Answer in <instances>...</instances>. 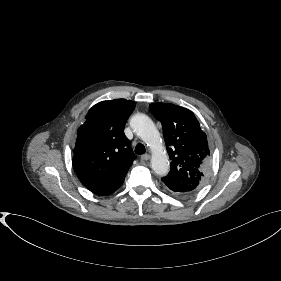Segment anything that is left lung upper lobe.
Returning a JSON list of instances; mask_svg holds the SVG:
<instances>
[{
  "instance_id": "obj_1",
  "label": "left lung upper lobe",
  "mask_w": 281,
  "mask_h": 281,
  "mask_svg": "<svg viewBox=\"0 0 281 281\" xmlns=\"http://www.w3.org/2000/svg\"><path fill=\"white\" fill-rule=\"evenodd\" d=\"M162 124L167 152L171 160L163 183L174 194L188 197L197 193L207 180L211 156L207 136L195 115L188 109L169 103L149 105Z\"/></svg>"
}]
</instances>
